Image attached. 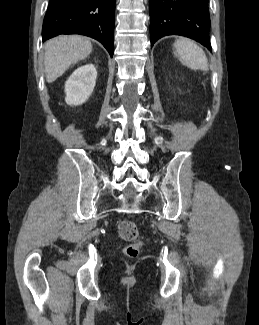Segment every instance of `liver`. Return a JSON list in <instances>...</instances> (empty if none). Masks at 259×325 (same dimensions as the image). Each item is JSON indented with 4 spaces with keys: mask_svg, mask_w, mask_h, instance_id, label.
<instances>
[{
    "mask_svg": "<svg viewBox=\"0 0 259 325\" xmlns=\"http://www.w3.org/2000/svg\"><path fill=\"white\" fill-rule=\"evenodd\" d=\"M44 56L47 82L63 75L74 63L85 59L92 52L89 40L78 35H62L46 42Z\"/></svg>",
    "mask_w": 259,
    "mask_h": 325,
    "instance_id": "liver-1",
    "label": "liver"
}]
</instances>
